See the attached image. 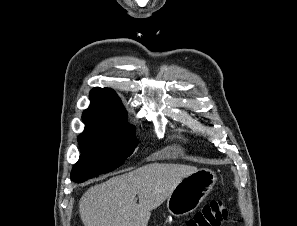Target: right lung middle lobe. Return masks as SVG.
I'll list each match as a JSON object with an SVG mask.
<instances>
[{
	"mask_svg": "<svg viewBox=\"0 0 297 226\" xmlns=\"http://www.w3.org/2000/svg\"><path fill=\"white\" fill-rule=\"evenodd\" d=\"M78 143L81 155L71 172V180L77 183L114 170L138 145L135 127L127 122L126 112L116 126L86 127Z\"/></svg>",
	"mask_w": 297,
	"mask_h": 226,
	"instance_id": "1",
	"label": "right lung middle lobe"
}]
</instances>
